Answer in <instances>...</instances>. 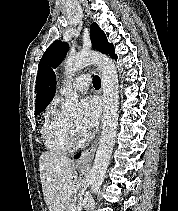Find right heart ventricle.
Masks as SVG:
<instances>
[{"label":"right heart ventricle","mask_w":178,"mask_h":211,"mask_svg":"<svg viewBox=\"0 0 178 211\" xmlns=\"http://www.w3.org/2000/svg\"><path fill=\"white\" fill-rule=\"evenodd\" d=\"M42 139L46 147L55 153H66L73 149L69 142L68 120L56 106H52L41 128Z\"/></svg>","instance_id":"e07e8e85"}]
</instances>
